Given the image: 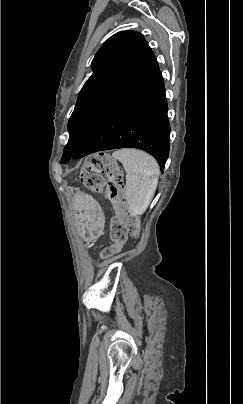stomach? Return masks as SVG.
<instances>
[{
  "label": "stomach",
  "mask_w": 243,
  "mask_h": 404,
  "mask_svg": "<svg viewBox=\"0 0 243 404\" xmlns=\"http://www.w3.org/2000/svg\"><path fill=\"white\" fill-rule=\"evenodd\" d=\"M75 198V213L83 238L93 240L100 236L104 229L105 218L99 204L89 195L77 192Z\"/></svg>",
  "instance_id": "stomach-1"
}]
</instances>
